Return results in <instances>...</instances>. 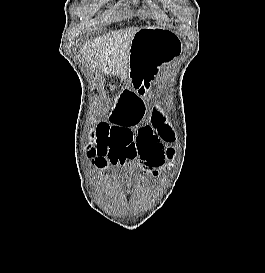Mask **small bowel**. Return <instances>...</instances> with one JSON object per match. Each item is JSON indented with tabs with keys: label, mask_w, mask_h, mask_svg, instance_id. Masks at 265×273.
Masks as SVG:
<instances>
[{
	"label": "small bowel",
	"mask_w": 265,
	"mask_h": 273,
	"mask_svg": "<svg viewBox=\"0 0 265 273\" xmlns=\"http://www.w3.org/2000/svg\"><path fill=\"white\" fill-rule=\"evenodd\" d=\"M140 95L130 92L121 95L112 122L90 124V129H97V148L92 156H97L96 165L105 169L108 165H122L137 160L138 165L153 176H158L168 158L167 150L160 139V134L152 125H143L135 133L131 128L141 124L146 115L145 104H141ZM128 108V114L126 106Z\"/></svg>",
	"instance_id": "obj_1"
}]
</instances>
